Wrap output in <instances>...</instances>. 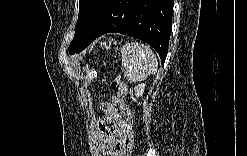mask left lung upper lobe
I'll return each instance as SVG.
<instances>
[{
	"label": "left lung upper lobe",
	"mask_w": 247,
	"mask_h": 156,
	"mask_svg": "<svg viewBox=\"0 0 247 156\" xmlns=\"http://www.w3.org/2000/svg\"><path fill=\"white\" fill-rule=\"evenodd\" d=\"M108 0H79V16L75 25V35L69 46L71 54L84 49L86 35Z\"/></svg>",
	"instance_id": "5c2ea615"
}]
</instances>
